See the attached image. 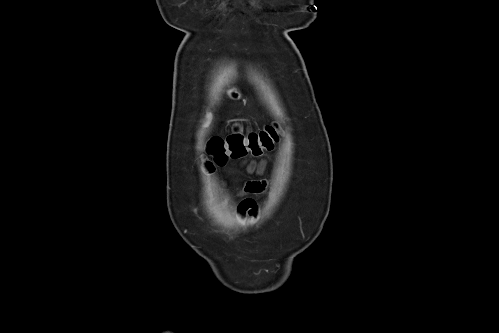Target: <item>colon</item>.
I'll use <instances>...</instances> for the list:
<instances>
[{
	"label": "colon",
	"instance_id": "obj_1",
	"mask_svg": "<svg viewBox=\"0 0 499 333\" xmlns=\"http://www.w3.org/2000/svg\"><path fill=\"white\" fill-rule=\"evenodd\" d=\"M278 138L275 126L269 125L259 132L242 134L235 133L226 139L215 137L208 144V154L212 163L225 164L228 159H238L247 154L259 155L263 151L272 149Z\"/></svg>",
	"mask_w": 499,
	"mask_h": 333
}]
</instances>
